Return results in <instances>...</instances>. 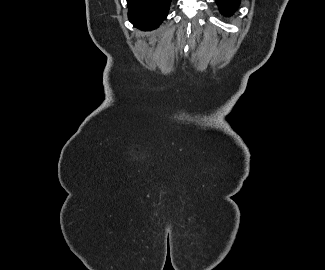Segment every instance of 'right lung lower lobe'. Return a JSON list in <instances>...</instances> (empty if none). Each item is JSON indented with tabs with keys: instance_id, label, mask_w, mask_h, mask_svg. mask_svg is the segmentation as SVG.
Here are the masks:
<instances>
[{
	"instance_id": "98d812e1",
	"label": "right lung lower lobe",
	"mask_w": 325,
	"mask_h": 270,
	"mask_svg": "<svg viewBox=\"0 0 325 270\" xmlns=\"http://www.w3.org/2000/svg\"><path fill=\"white\" fill-rule=\"evenodd\" d=\"M130 22L142 30L158 27L167 17L171 0H127Z\"/></svg>"
}]
</instances>
